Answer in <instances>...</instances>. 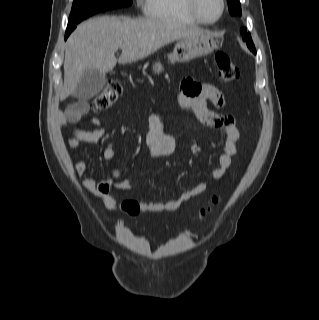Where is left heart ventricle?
I'll use <instances>...</instances> for the list:
<instances>
[{
  "mask_svg": "<svg viewBox=\"0 0 319 320\" xmlns=\"http://www.w3.org/2000/svg\"><path fill=\"white\" fill-rule=\"evenodd\" d=\"M197 8L204 18L213 20L219 14L220 0H197Z\"/></svg>",
  "mask_w": 319,
  "mask_h": 320,
  "instance_id": "left-heart-ventricle-1",
  "label": "left heart ventricle"
}]
</instances>
